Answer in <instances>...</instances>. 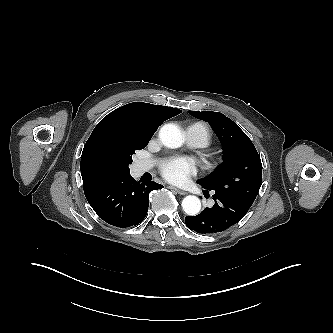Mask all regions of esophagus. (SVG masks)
Here are the masks:
<instances>
[{"mask_svg": "<svg viewBox=\"0 0 333 333\" xmlns=\"http://www.w3.org/2000/svg\"><path fill=\"white\" fill-rule=\"evenodd\" d=\"M169 189L175 191L176 193L180 194V195H186L187 192L183 191V190H180L174 186H168Z\"/></svg>", "mask_w": 333, "mask_h": 333, "instance_id": "1", "label": "esophagus"}]
</instances>
